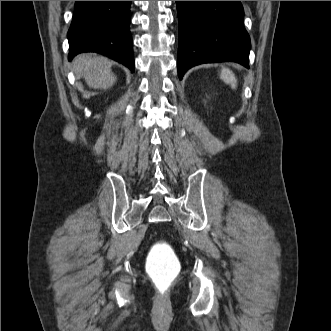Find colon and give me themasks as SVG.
<instances>
[{
    "instance_id": "1",
    "label": "colon",
    "mask_w": 331,
    "mask_h": 331,
    "mask_svg": "<svg viewBox=\"0 0 331 331\" xmlns=\"http://www.w3.org/2000/svg\"><path fill=\"white\" fill-rule=\"evenodd\" d=\"M146 270L157 290L165 294L177 280L181 267L172 247L166 242H157L148 255Z\"/></svg>"
}]
</instances>
